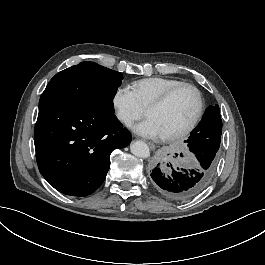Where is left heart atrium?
I'll list each match as a JSON object with an SVG mask.
<instances>
[{
  "label": "left heart atrium",
  "mask_w": 265,
  "mask_h": 265,
  "mask_svg": "<svg viewBox=\"0 0 265 265\" xmlns=\"http://www.w3.org/2000/svg\"><path fill=\"white\" fill-rule=\"evenodd\" d=\"M133 130L139 136L146 138L161 139L164 137V133L161 128L152 118H147L146 120L137 123L133 127Z\"/></svg>",
  "instance_id": "obj_1"
}]
</instances>
